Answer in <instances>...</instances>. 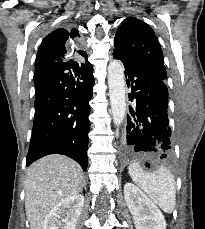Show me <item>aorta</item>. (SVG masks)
<instances>
[{
  "instance_id": "obj_1",
  "label": "aorta",
  "mask_w": 205,
  "mask_h": 229,
  "mask_svg": "<svg viewBox=\"0 0 205 229\" xmlns=\"http://www.w3.org/2000/svg\"><path fill=\"white\" fill-rule=\"evenodd\" d=\"M108 85L113 121L121 125L126 113V83L123 65L118 60L108 65Z\"/></svg>"
}]
</instances>
